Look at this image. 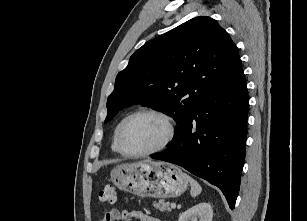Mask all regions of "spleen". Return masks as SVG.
I'll use <instances>...</instances> for the list:
<instances>
[{
	"label": "spleen",
	"mask_w": 307,
	"mask_h": 221,
	"mask_svg": "<svg viewBox=\"0 0 307 221\" xmlns=\"http://www.w3.org/2000/svg\"><path fill=\"white\" fill-rule=\"evenodd\" d=\"M186 177H187V179H188V181H189V183L191 185V191H190L191 196L192 197L198 196L201 193V191H202V188H201L200 184L196 180L191 178L190 176L186 175Z\"/></svg>",
	"instance_id": "3e777b00"
}]
</instances>
